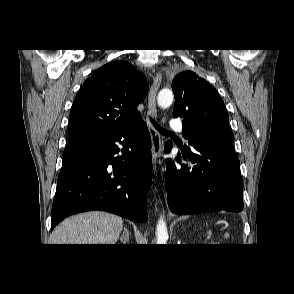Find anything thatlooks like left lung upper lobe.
Instances as JSON below:
<instances>
[{"label":"left lung upper lobe","mask_w":294,"mask_h":294,"mask_svg":"<svg viewBox=\"0 0 294 294\" xmlns=\"http://www.w3.org/2000/svg\"><path fill=\"white\" fill-rule=\"evenodd\" d=\"M172 90L173 116L183 119L184 138L234 141L224 102L210 83L192 71H183L173 79Z\"/></svg>","instance_id":"obj_1"}]
</instances>
